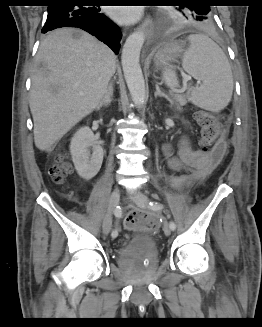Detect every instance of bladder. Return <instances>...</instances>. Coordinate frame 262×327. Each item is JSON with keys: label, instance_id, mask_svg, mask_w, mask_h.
<instances>
[{"label": "bladder", "instance_id": "bladder-1", "mask_svg": "<svg viewBox=\"0 0 262 327\" xmlns=\"http://www.w3.org/2000/svg\"><path fill=\"white\" fill-rule=\"evenodd\" d=\"M138 252H145L155 260L159 258V250L153 236L147 234H135L131 236L121 246L118 257L119 259H124Z\"/></svg>", "mask_w": 262, "mask_h": 327}]
</instances>
